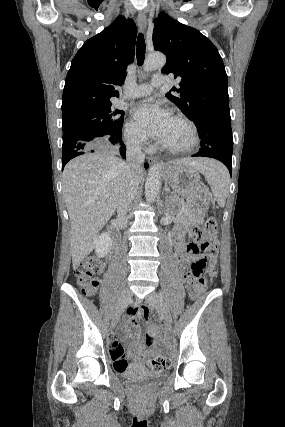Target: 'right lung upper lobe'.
Returning <instances> with one entry per match:
<instances>
[{"label":"right lung upper lobe","mask_w":285,"mask_h":427,"mask_svg":"<svg viewBox=\"0 0 285 427\" xmlns=\"http://www.w3.org/2000/svg\"><path fill=\"white\" fill-rule=\"evenodd\" d=\"M137 28L119 16L101 33L88 39L71 62L62 97L63 117L111 104L118 97L127 65L134 59Z\"/></svg>","instance_id":"cb5924a9"}]
</instances>
